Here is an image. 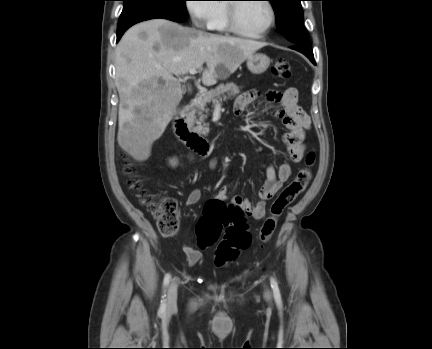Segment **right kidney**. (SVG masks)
Listing matches in <instances>:
<instances>
[{
    "label": "right kidney",
    "mask_w": 432,
    "mask_h": 349,
    "mask_svg": "<svg viewBox=\"0 0 432 349\" xmlns=\"http://www.w3.org/2000/svg\"><path fill=\"white\" fill-rule=\"evenodd\" d=\"M171 164H172L173 166H175V165L177 164V161H175V160H171Z\"/></svg>",
    "instance_id": "1"
}]
</instances>
